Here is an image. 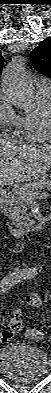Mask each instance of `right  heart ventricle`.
Listing matches in <instances>:
<instances>
[{
  "instance_id": "e07e8e85",
  "label": "right heart ventricle",
  "mask_w": 51,
  "mask_h": 393,
  "mask_svg": "<svg viewBox=\"0 0 51 393\" xmlns=\"http://www.w3.org/2000/svg\"><path fill=\"white\" fill-rule=\"evenodd\" d=\"M36 109L20 118L21 139L32 143H45L51 137L46 124V112L51 104V89H36Z\"/></svg>"
}]
</instances>
